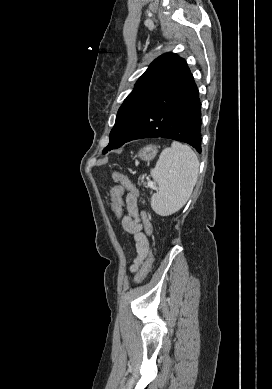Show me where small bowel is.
I'll return each mask as SVG.
<instances>
[{"label":"small bowel","instance_id":"obj_1","mask_svg":"<svg viewBox=\"0 0 272 389\" xmlns=\"http://www.w3.org/2000/svg\"><path fill=\"white\" fill-rule=\"evenodd\" d=\"M125 210L126 212L122 217L121 223L124 230L132 235L135 241L137 257L131 266V271L136 272L148 254L149 243L147 236L151 233L152 227L145 213L139 210L138 199L135 194H127Z\"/></svg>","mask_w":272,"mask_h":389}]
</instances>
